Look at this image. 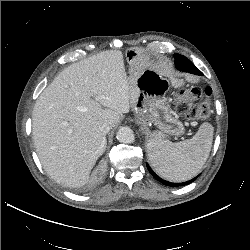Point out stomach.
<instances>
[{"label":"stomach","mask_w":250,"mask_h":250,"mask_svg":"<svg viewBox=\"0 0 250 250\" xmlns=\"http://www.w3.org/2000/svg\"><path fill=\"white\" fill-rule=\"evenodd\" d=\"M129 63L130 104L138 125L146 127L154 123L163 133L180 135L184 128L180 121L171 114L165 98V79L152 69L146 68L149 57L137 47L126 51Z\"/></svg>","instance_id":"1"}]
</instances>
